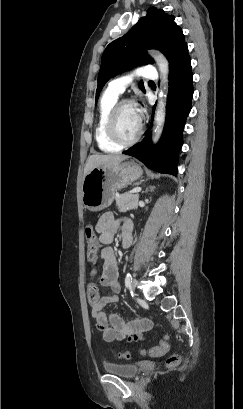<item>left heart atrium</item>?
Returning a JSON list of instances; mask_svg holds the SVG:
<instances>
[{
	"mask_svg": "<svg viewBox=\"0 0 243 409\" xmlns=\"http://www.w3.org/2000/svg\"><path fill=\"white\" fill-rule=\"evenodd\" d=\"M137 111H138V113H139V116H141V112H140V110L137 108Z\"/></svg>",
	"mask_w": 243,
	"mask_h": 409,
	"instance_id": "1",
	"label": "left heart atrium"
}]
</instances>
